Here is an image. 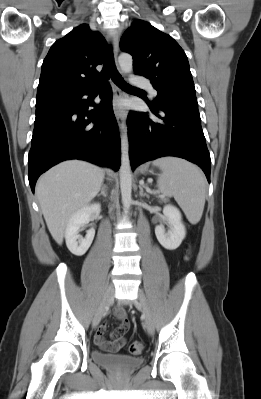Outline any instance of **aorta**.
<instances>
[{
    "instance_id": "aorta-1",
    "label": "aorta",
    "mask_w": 261,
    "mask_h": 399,
    "mask_svg": "<svg viewBox=\"0 0 261 399\" xmlns=\"http://www.w3.org/2000/svg\"><path fill=\"white\" fill-rule=\"evenodd\" d=\"M118 62L123 73H129L132 70L133 59L130 54H120V56L118 57ZM120 188L122 203L125 210H128L132 203V174L129 159V141L127 127H123V133L121 136Z\"/></svg>"
}]
</instances>
